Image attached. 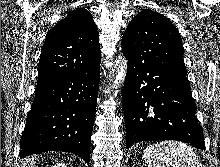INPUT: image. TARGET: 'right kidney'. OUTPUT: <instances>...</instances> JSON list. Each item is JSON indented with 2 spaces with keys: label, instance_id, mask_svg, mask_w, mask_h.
<instances>
[{
  "label": "right kidney",
  "instance_id": "obj_1",
  "mask_svg": "<svg viewBox=\"0 0 220 167\" xmlns=\"http://www.w3.org/2000/svg\"><path fill=\"white\" fill-rule=\"evenodd\" d=\"M53 167H67V165L64 163H58V164L54 165Z\"/></svg>",
  "mask_w": 220,
  "mask_h": 167
}]
</instances>
